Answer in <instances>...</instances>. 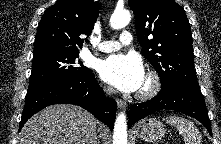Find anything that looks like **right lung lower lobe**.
<instances>
[{
	"mask_svg": "<svg viewBox=\"0 0 221 144\" xmlns=\"http://www.w3.org/2000/svg\"><path fill=\"white\" fill-rule=\"evenodd\" d=\"M53 104L81 106L113 129L116 102L105 98L92 72L85 78L57 79L27 91L19 130L31 116Z\"/></svg>",
	"mask_w": 221,
	"mask_h": 144,
	"instance_id": "98d812e1",
	"label": "right lung lower lobe"
}]
</instances>
